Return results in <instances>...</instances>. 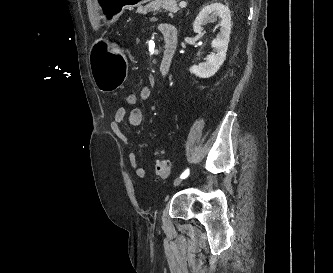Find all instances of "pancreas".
<instances>
[{"label":"pancreas","instance_id":"1","mask_svg":"<svg viewBox=\"0 0 333 273\" xmlns=\"http://www.w3.org/2000/svg\"><path fill=\"white\" fill-rule=\"evenodd\" d=\"M178 0H155L147 5L140 7L138 13L146 14L148 12L156 13L165 10L169 12V16L173 18V14L179 11L177 7Z\"/></svg>","mask_w":333,"mask_h":273}]
</instances>
